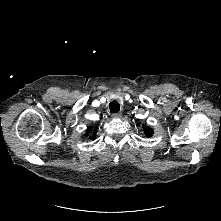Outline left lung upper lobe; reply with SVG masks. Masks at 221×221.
<instances>
[{"instance_id":"1","label":"left lung upper lobe","mask_w":221,"mask_h":221,"mask_svg":"<svg viewBox=\"0 0 221 221\" xmlns=\"http://www.w3.org/2000/svg\"><path fill=\"white\" fill-rule=\"evenodd\" d=\"M143 131L146 137H150L153 134V129L147 127V126H143Z\"/></svg>"}]
</instances>
